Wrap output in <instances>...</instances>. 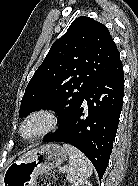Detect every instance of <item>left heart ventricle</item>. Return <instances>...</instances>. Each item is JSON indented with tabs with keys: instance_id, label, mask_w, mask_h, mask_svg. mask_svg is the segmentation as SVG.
Segmentation results:
<instances>
[{
	"instance_id": "1",
	"label": "left heart ventricle",
	"mask_w": 138,
	"mask_h": 186,
	"mask_svg": "<svg viewBox=\"0 0 138 186\" xmlns=\"http://www.w3.org/2000/svg\"><path fill=\"white\" fill-rule=\"evenodd\" d=\"M46 124V120L44 118L38 117L29 122V124L24 129L25 136H32L39 131H41Z\"/></svg>"
}]
</instances>
